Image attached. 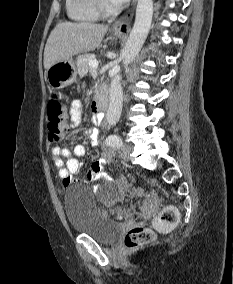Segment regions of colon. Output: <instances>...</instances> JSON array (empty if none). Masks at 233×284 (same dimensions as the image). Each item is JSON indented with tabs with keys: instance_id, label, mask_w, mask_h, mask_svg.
I'll list each match as a JSON object with an SVG mask.
<instances>
[{
	"instance_id": "5ec220e1",
	"label": "colon",
	"mask_w": 233,
	"mask_h": 284,
	"mask_svg": "<svg viewBox=\"0 0 233 284\" xmlns=\"http://www.w3.org/2000/svg\"><path fill=\"white\" fill-rule=\"evenodd\" d=\"M66 130V108L62 98L53 95L47 105V133L50 141H59ZM155 201L147 197L142 203V210L150 212L154 209ZM179 221V214L175 207L168 205L160 212L156 223L160 228L175 226ZM155 239L152 229L136 226L130 229L124 239V244L129 249H134L147 244Z\"/></svg>"
}]
</instances>
